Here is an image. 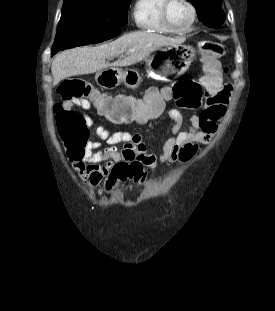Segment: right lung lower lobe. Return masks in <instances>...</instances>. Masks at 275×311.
<instances>
[{
  "instance_id": "right-lung-lower-lobe-1",
  "label": "right lung lower lobe",
  "mask_w": 275,
  "mask_h": 311,
  "mask_svg": "<svg viewBox=\"0 0 275 311\" xmlns=\"http://www.w3.org/2000/svg\"><path fill=\"white\" fill-rule=\"evenodd\" d=\"M124 23L117 25L114 30H111L110 33L106 34L99 42L111 39L120 34V27L123 26Z\"/></svg>"
}]
</instances>
